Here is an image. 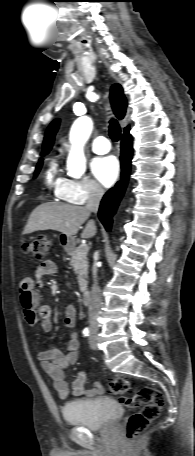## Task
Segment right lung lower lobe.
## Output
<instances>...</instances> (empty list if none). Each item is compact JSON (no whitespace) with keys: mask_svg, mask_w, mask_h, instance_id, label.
<instances>
[{"mask_svg":"<svg viewBox=\"0 0 195 456\" xmlns=\"http://www.w3.org/2000/svg\"><path fill=\"white\" fill-rule=\"evenodd\" d=\"M132 159V137L128 132H124L121 141V177L115 187L111 188L103 197L98 212V216L107 231H110L112 216L115 214L118 204L124 194L130 174Z\"/></svg>","mask_w":195,"mask_h":456,"instance_id":"right-lung-lower-lobe-1","label":"right lung lower lobe"}]
</instances>
